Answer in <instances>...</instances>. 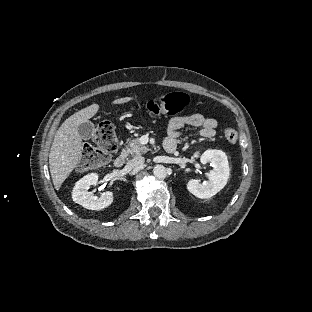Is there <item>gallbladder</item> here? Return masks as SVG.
<instances>
[{
  "mask_svg": "<svg viewBox=\"0 0 312 312\" xmlns=\"http://www.w3.org/2000/svg\"><path fill=\"white\" fill-rule=\"evenodd\" d=\"M94 130V124L90 121L84 122L78 126V133L84 140L91 138Z\"/></svg>",
  "mask_w": 312,
  "mask_h": 312,
  "instance_id": "1",
  "label": "gallbladder"
}]
</instances>
